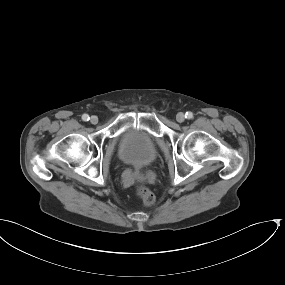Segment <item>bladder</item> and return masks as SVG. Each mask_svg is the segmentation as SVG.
Wrapping results in <instances>:
<instances>
[{"instance_id":"bladder-1","label":"bladder","mask_w":285,"mask_h":285,"mask_svg":"<svg viewBox=\"0 0 285 285\" xmlns=\"http://www.w3.org/2000/svg\"><path fill=\"white\" fill-rule=\"evenodd\" d=\"M118 153L126 165L137 169L146 167L156 157L155 137L144 130H124L119 136Z\"/></svg>"}]
</instances>
